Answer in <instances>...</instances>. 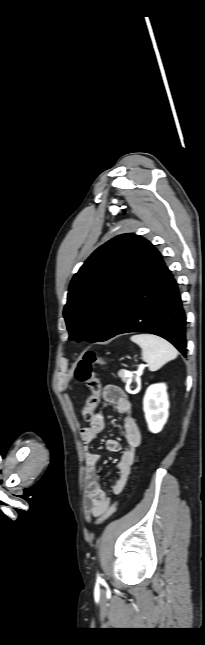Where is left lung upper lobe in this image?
Segmentation results:
<instances>
[{
  "label": "left lung upper lobe",
  "mask_w": 205,
  "mask_h": 645,
  "mask_svg": "<svg viewBox=\"0 0 205 645\" xmlns=\"http://www.w3.org/2000/svg\"><path fill=\"white\" fill-rule=\"evenodd\" d=\"M144 241L135 234L116 236L74 275L63 312L69 340L101 342L114 330L123 287Z\"/></svg>",
  "instance_id": "1"
}]
</instances>
